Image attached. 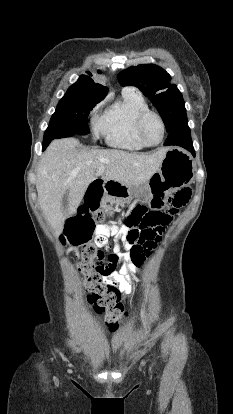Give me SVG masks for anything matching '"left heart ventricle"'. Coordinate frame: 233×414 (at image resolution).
<instances>
[{"label": "left heart ventricle", "mask_w": 233, "mask_h": 414, "mask_svg": "<svg viewBox=\"0 0 233 414\" xmlns=\"http://www.w3.org/2000/svg\"><path fill=\"white\" fill-rule=\"evenodd\" d=\"M145 133L151 142H158L162 136V129L158 119L151 116L145 123Z\"/></svg>", "instance_id": "1"}]
</instances>
